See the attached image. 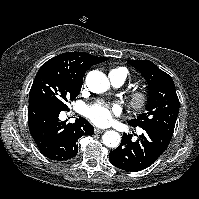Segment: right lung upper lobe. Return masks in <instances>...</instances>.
<instances>
[{
    "label": "right lung upper lobe",
    "instance_id": "cb5924a9",
    "mask_svg": "<svg viewBox=\"0 0 199 199\" xmlns=\"http://www.w3.org/2000/svg\"><path fill=\"white\" fill-rule=\"evenodd\" d=\"M107 59L85 52H67L50 59L40 69L56 71L82 81L85 72L91 66L102 63Z\"/></svg>",
    "mask_w": 199,
    "mask_h": 199
}]
</instances>
